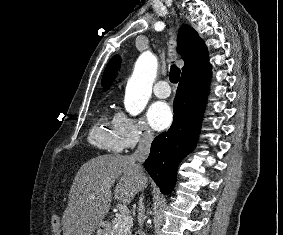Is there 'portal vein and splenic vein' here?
Returning <instances> with one entry per match:
<instances>
[{"label": "portal vein and splenic vein", "instance_id": "portal-vein-and-splenic-vein-1", "mask_svg": "<svg viewBox=\"0 0 283 235\" xmlns=\"http://www.w3.org/2000/svg\"><path fill=\"white\" fill-rule=\"evenodd\" d=\"M117 208L121 215L123 216L129 215V209L127 208L126 205L117 204Z\"/></svg>", "mask_w": 283, "mask_h": 235}]
</instances>
